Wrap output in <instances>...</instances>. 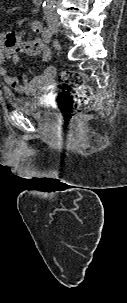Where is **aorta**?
I'll return each instance as SVG.
<instances>
[{"label": "aorta", "mask_w": 127, "mask_h": 303, "mask_svg": "<svg viewBox=\"0 0 127 303\" xmlns=\"http://www.w3.org/2000/svg\"><path fill=\"white\" fill-rule=\"evenodd\" d=\"M56 3V0H45L44 1V6L45 7H53Z\"/></svg>", "instance_id": "obj_1"}]
</instances>
